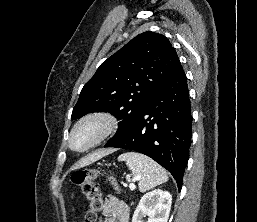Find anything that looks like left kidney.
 <instances>
[{
    "label": "left kidney",
    "instance_id": "5707ae66",
    "mask_svg": "<svg viewBox=\"0 0 257 222\" xmlns=\"http://www.w3.org/2000/svg\"><path fill=\"white\" fill-rule=\"evenodd\" d=\"M172 203V196L167 191L155 189L141 198L132 218V222H143V217H149L147 222H167Z\"/></svg>",
    "mask_w": 257,
    "mask_h": 222
}]
</instances>
